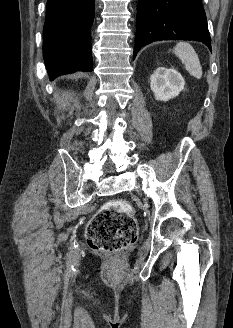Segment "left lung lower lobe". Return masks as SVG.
<instances>
[{
    "instance_id": "1",
    "label": "left lung lower lobe",
    "mask_w": 233,
    "mask_h": 328,
    "mask_svg": "<svg viewBox=\"0 0 233 328\" xmlns=\"http://www.w3.org/2000/svg\"><path fill=\"white\" fill-rule=\"evenodd\" d=\"M159 40H197L211 50L201 0H140L134 58L144 45Z\"/></svg>"
}]
</instances>
